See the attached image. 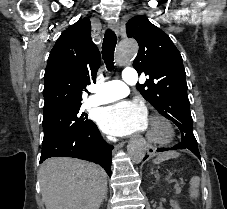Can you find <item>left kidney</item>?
<instances>
[{
  "mask_svg": "<svg viewBox=\"0 0 227 209\" xmlns=\"http://www.w3.org/2000/svg\"><path fill=\"white\" fill-rule=\"evenodd\" d=\"M170 205L172 207V209H180L178 203H176V201H170Z\"/></svg>",
  "mask_w": 227,
  "mask_h": 209,
  "instance_id": "5707ae66",
  "label": "left kidney"
}]
</instances>
